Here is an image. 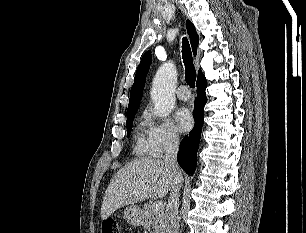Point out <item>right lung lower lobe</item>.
<instances>
[{
	"mask_svg": "<svg viewBox=\"0 0 306 233\" xmlns=\"http://www.w3.org/2000/svg\"><path fill=\"white\" fill-rule=\"evenodd\" d=\"M207 87V81L203 74L197 78V97L194 103V129L189 133V136H185L180 143L179 154L177 156L178 163L182 169L193 175L196 169V155L200 142L201 129L204 119V105L207 102L205 89Z\"/></svg>",
	"mask_w": 306,
	"mask_h": 233,
	"instance_id": "1",
	"label": "right lung lower lobe"
}]
</instances>
